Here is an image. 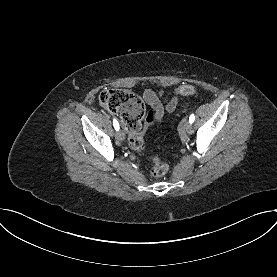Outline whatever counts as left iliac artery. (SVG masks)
Wrapping results in <instances>:
<instances>
[{
    "mask_svg": "<svg viewBox=\"0 0 277 277\" xmlns=\"http://www.w3.org/2000/svg\"><path fill=\"white\" fill-rule=\"evenodd\" d=\"M194 120H195V116H194V114H191L190 117H189L190 123H193Z\"/></svg>",
    "mask_w": 277,
    "mask_h": 277,
    "instance_id": "44dca946",
    "label": "left iliac artery"
}]
</instances>
